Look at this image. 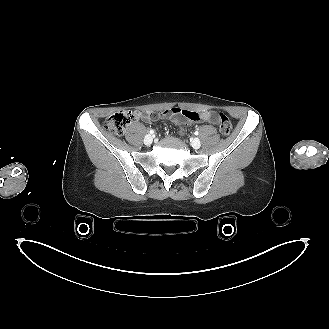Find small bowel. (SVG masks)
I'll return each mask as SVG.
<instances>
[{"label":"small bowel","instance_id":"c3829d8e","mask_svg":"<svg viewBox=\"0 0 329 329\" xmlns=\"http://www.w3.org/2000/svg\"><path fill=\"white\" fill-rule=\"evenodd\" d=\"M137 118L143 121H150V115L147 113H136ZM161 117L170 120L174 125H176L180 131H183L184 127H188L195 123H210L216 124L217 118L212 111H203L200 113L192 112L186 109H180L178 107H172L161 113Z\"/></svg>","mask_w":329,"mask_h":329}]
</instances>
